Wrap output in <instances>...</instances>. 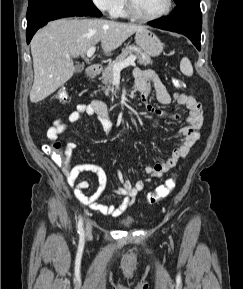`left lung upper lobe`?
Returning a JSON list of instances; mask_svg holds the SVG:
<instances>
[{"label":"left lung upper lobe","mask_w":243,"mask_h":289,"mask_svg":"<svg viewBox=\"0 0 243 289\" xmlns=\"http://www.w3.org/2000/svg\"><path fill=\"white\" fill-rule=\"evenodd\" d=\"M176 4L182 3L184 1H188V0H174ZM195 1H199V0H195Z\"/></svg>","instance_id":"obj_1"}]
</instances>
